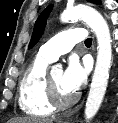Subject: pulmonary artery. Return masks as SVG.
I'll list each match as a JSON object with an SVG mask.
<instances>
[{
	"label": "pulmonary artery",
	"mask_w": 118,
	"mask_h": 123,
	"mask_svg": "<svg viewBox=\"0 0 118 123\" xmlns=\"http://www.w3.org/2000/svg\"><path fill=\"white\" fill-rule=\"evenodd\" d=\"M86 36V30L80 27L62 31L42 45L39 54L55 61L60 55L69 52L76 43L85 40Z\"/></svg>",
	"instance_id": "pulmonary-artery-1"
}]
</instances>
